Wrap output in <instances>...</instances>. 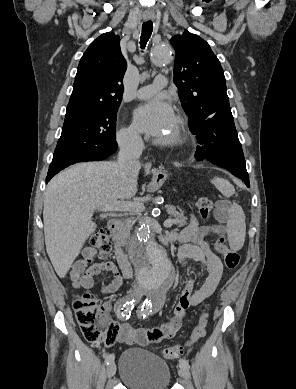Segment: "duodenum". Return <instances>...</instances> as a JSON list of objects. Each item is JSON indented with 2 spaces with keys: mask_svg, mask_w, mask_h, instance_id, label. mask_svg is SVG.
I'll return each mask as SVG.
<instances>
[{
  "mask_svg": "<svg viewBox=\"0 0 296 389\" xmlns=\"http://www.w3.org/2000/svg\"><path fill=\"white\" fill-rule=\"evenodd\" d=\"M108 228L112 234L115 243V255L120 265V268L122 270V273L126 278H130L132 276V267L129 260L127 259L126 255L122 250V238L120 235L119 220L117 218H111L108 221ZM170 240H171L170 237H167L164 239V242L167 243Z\"/></svg>",
  "mask_w": 296,
  "mask_h": 389,
  "instance_id": "410a0bca",
  "label": "duodenum"
}]
</instances>
